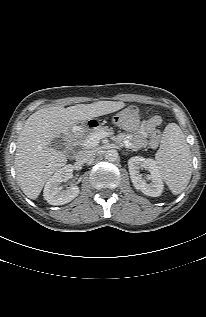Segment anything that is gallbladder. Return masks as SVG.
Returning a JSON list of instances; mask_svg holds the SVG:
<instances>
[{
	"label": "gallbladder",
	"mask_w": 206,
	"mask_h": 317,
	"mask_svg": "<svg viewBox=\"0 0 206 317\" xmlns=\"http://www.w3.org/2000/svg\"><path fill=\"white\" fill-rule=\"evenodd\" d=\"M50 147L58 151H66L67 144L65 142L64 136L60 135L54 138L50 143Z\"/></svg>",
	"instance_id": "1"
}]
</instances>
